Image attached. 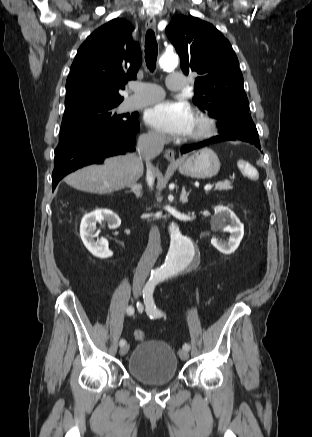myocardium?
<instances>
[{
  "label": "myocardium",
  "instance_id": "obj_1",
  "mask_svg": "<svg viewBox=\"0 0 312 437\" xmlns=\"http://www.w3.org/2000/svg\"><path fill=\"white\" fill-rule=\"evenodd\" d=\"M196 128L189 135L188 141L200 142L211 137L216 131V120L210 115L198 112L195 115Z\"/></svg>",
  "mask_w": 312,
  "mask_h": 437
}]
</instances>
